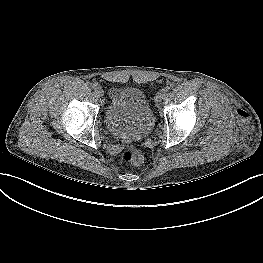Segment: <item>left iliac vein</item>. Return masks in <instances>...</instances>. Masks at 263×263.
<instances>
[{
	"instance_id": "obj_1",
	"label": "left iliac vein",
	"mask_w": 263,
	"mask_h": 263,
	"mask_svg": "<svg viewBox=\"0 0 263 263\" xmlns=\"http://www.w3.org/2000/svg\"><path fill=\"white\" fill-rule=\"evenodd\" d=\"M162 100V96L159 94L155 96V101L160 102Z\"/></svg>"
}]
</instances>
